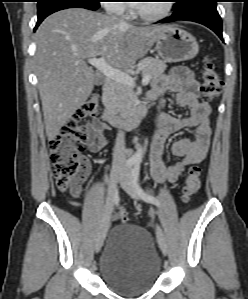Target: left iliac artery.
Segmentation results:
<instances>
[{"label":"left iliac artery","instance_id":"obj_1","mask_svg":"<svg viewBox=\"0 0 248 299\" xmlns=\"http://www.w3.org/2000/svg\"><path fill=\"white\" fill-rule=\"evenodd\" d=\"M139 175H140V162H135L134 167L132 169V179H133V183L135 185V188L139 194V196L148 203H152L156 206H160L161 203L160 201L155 198L154 196L148 194L147 192H145L141 186L139 185ZM159 227H157V231H158Z\"/></svg>","mask_w":248,"mask_h":299}]
</instances>
